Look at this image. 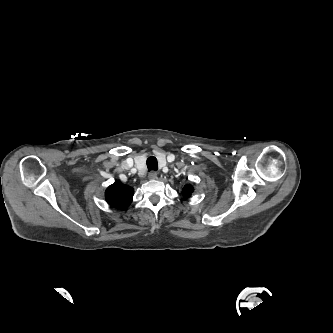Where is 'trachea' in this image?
I'll use <instances>...</instances> for the list:
<instances>
[{
    "label": "trachea",
    "instance_id": "obj_1",
    "mask_svg": "<svg viewBox=\"0 0 333 333\" xmlns=\"http://www.w3.org/2000/svg\"><path fill=\"white\" fill-rule=\"evenodd\" d=\"M146 164H147V168L149 171H157L158 169V162H157V159L156 157L154 156H150L147 161H146Z\"/></svg>",
    "mask_w": 333,
    "mask_h": 333
}]
</instances>
